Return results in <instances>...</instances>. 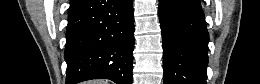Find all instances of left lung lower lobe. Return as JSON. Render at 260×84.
Returning a JSON list of instances; mask_svg holds the SVG:
<instances>
[{
	"mask_svg": "<svg viewBox=\"0 0 260 84\" xmlns=\"http://www.w3.org/2000/svg\"><path fill=\"white\" fill-rule=\"evenodd\" d=\"M164 84H206L209 35L199 0H159Z\"/></svg>",
	"mask_w": 260,
	"mask_h": 84,
	"instance_id": "0a47b994",
	"label": "left lung lower lobe"
}]
</instances>
